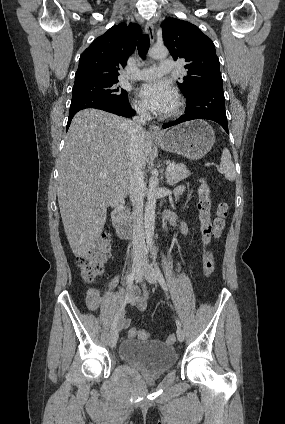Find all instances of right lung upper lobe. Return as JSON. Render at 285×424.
<instances>
[{
  "label": "right lung upper lobe",
  "instance_id": "cb5924a9",
  "mask_svg": "<svg viewBox=\"0 0 285 424\" xmlns=\"http://www.w3.org/2000/svg\"><path fill=\"white\" fill-rule=\"evenodd\" d=\"M140 33L138 24L120 23L96 38L80 56L75 84L118 80V71L133 53Z\"/></svg>",
  "mask_w": 285,
  "mask_h": 424
}]
</instances>
